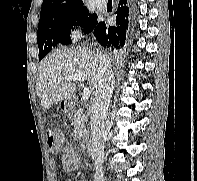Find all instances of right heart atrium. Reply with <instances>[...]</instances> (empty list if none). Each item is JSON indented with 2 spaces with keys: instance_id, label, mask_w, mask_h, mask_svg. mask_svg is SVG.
<instances>
[{
  "instance_id": "1",
  "label": "right heart atrium",
  "mask_w": 197,
  "mask_h": 181,
  "mask_svg": "<svg viewBox=\"0 0 197 181\" xmlns=\"http://www.w3.org/2000/svg\"><path fill=\"white\" fill-rule=\"evenodd\" d=\"M81 32V27L74 23V24H71L69 26V35L72 37V38H75L77 37Z\"/></svg>"
}]
</instances>
